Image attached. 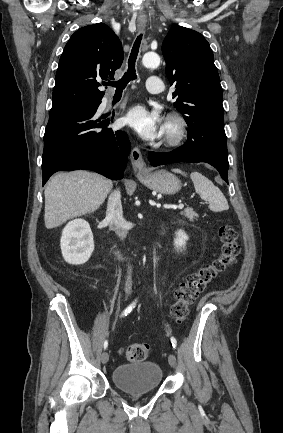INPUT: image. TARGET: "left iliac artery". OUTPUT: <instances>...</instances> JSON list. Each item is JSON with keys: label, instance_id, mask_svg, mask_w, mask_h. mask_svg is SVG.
Returning a JSON list of instances; mask_svg holds the SVG:
<instances>
[{"label": "left iliac artery", "instance_id": "1", "mask_svg": "<svg viewBox=\"0 0 283 433\" xmlns=\"http://www.w3.org/2000/svg\"><path fill=\"white\" fill-rule=\"evenodd\" d=\"M170 339H171V343H172L173 348H176V345H177L176 339L174 337H171Z\"/></svg>", "mask_w": 283, "mask_h": 433}]
</instances>
